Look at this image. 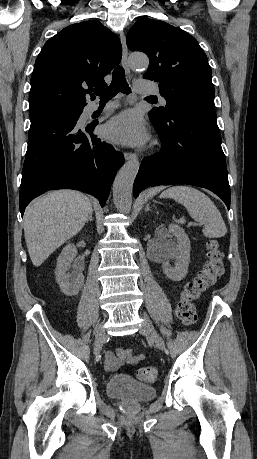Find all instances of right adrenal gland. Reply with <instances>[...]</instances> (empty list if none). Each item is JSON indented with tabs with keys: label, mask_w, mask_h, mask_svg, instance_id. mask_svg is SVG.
Listing matches in <instances>:
<instances>
[{
	"label": "right adrenal gland",
	"mask_w": 257,
	"mask_h": 459,
	"mask_svg": "<svg viewBox=\"0 0 257 459\" xmlns=\"http://www.w3.org/2000/svg\"><path fill=\"white\" fill-rule=\"evenodd\" d=\"M92 220H93V219H92V214H90V216L88 217L87 222H88V221H92Z\"/></svg>",
	"instance_id": "obj_1"
}]
</instances>
